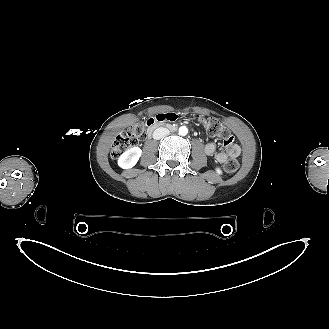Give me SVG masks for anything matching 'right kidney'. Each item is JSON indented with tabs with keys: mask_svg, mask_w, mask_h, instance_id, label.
Masks as SVG:
<instances>
[{
	"mask_svg": "<svg viewBox=\"0 0 329 329\" xmlns=\"http://www.w3.org/2000/svg\"><path fill=\"white\" fill-rule=\"evenodd\" d=\"M142 150L138 147L125 151L118 159V165L121 168L129 169L133 167L141 156Z\"/></svg>",
	"mask_w": 329,
	"mask_h": 329,
	"instance_id": "obj_1",
	"label": "right kidney"
}]
</instances>
